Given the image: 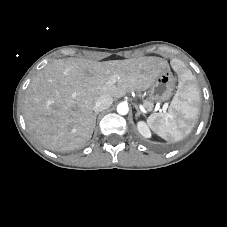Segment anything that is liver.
Here are the masks:
<instances>
[{
    "mask_svg": "<svg viewBox=\"0 0 227 227\" xmlns=\"http://www.w3.org/2000/svg\"><path fill=\"white\" fill-rule=\"evenodd\" d=\"M166 70L168 62L158 57L55 60L39 71L25 91L27 128L52 151L79 149L92 137L93 107L99 97L119 99L129 91H144ZM111 77L114 84H108Z\"/></svg>",
    "mask_w": 227,
    "mask_h": 227,
    "instance_id": "1",
    "label": "liver"
}]
</instances>
